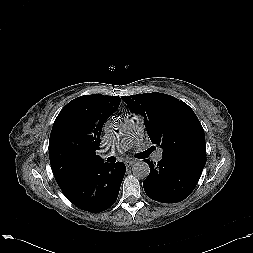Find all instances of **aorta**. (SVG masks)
Masks as SVG:
<instances>
[{
    "instance_id": "762f6f07",
    "label": "aorta",
    "mask_w": 253,
    "mask_h": 253,
    "mask_svg": "<svg viewBox=\"0 0 253 253\" xmlns=\"http://www.w3.org/2000/svg\"><path fill=\"white\" fill-rule=\"evenodd\" d=\"M125 125L121 121L109 120L104 125V131L108 135L117 136L124 131ZM132 173L134 177L138 179H145L150 173L149 165L142 161L138 160L132 166Z\"/></svg>"
}]
</instances>
